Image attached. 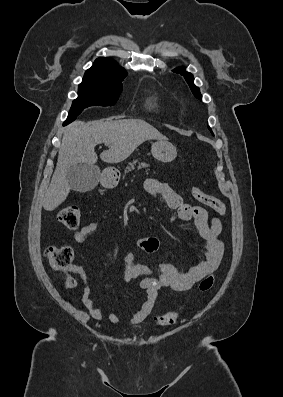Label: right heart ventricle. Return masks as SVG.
I'll list each match as a JSON object with an SVG mask.
<instances>
[{
    "label": "right heart ventricle",
    "instance_id": "e07e8e85",
    "mask_svg": "<svg viewBox=\"0 0 283 397\" xmlns=\"http://www.w3.org/2000/svg\"><path fill=\"white\" fill-rule=\"evenodd\" d=\"M149 106H150L151 108L157 107L156 101H154V100L149 101Z\"/></svg>",
    "mask_w": 283,
    "mask_h": 397
}]
</instances>
